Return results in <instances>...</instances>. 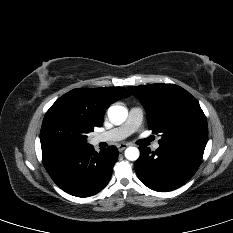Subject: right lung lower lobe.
<instances>
[{"label":"right lung lower lobe","instance_id":"98d812e1","mask_svg":"<svg viewBox=\"0 0 233 233\" xmlns=\"http://www.w3.org/2000/svg\"><path fill=\"white\" fill-rule=\"evenodd\" d=\"M41 148L43 164L53 181L77 197H89L100 192L108 184L118 158L115 146L99 153L90 144H48Z\"/></svg>","mask_w":233,"mask_h":233}]
</instances>
